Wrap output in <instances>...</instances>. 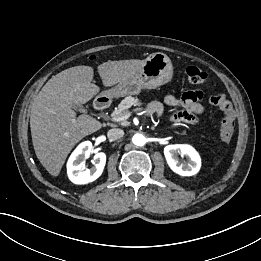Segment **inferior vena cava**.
<instances>
[{
  "label": "inferior vena cava",
  "mask_w": 261,
  "mask_h": 261,
  "mask_svg": "<svg viewBox=\"0 0 261 261\" xmlns=\"http://www.w3.org/2000/svg\"><path fill=\"white\" fill-rule=\"evenodd\" d=\"M107 136L111 141H115L124 136V131L119 128H113L108 131Z\"/></svg>",
  "instance_id": "602c4592"
}]
</instances>
